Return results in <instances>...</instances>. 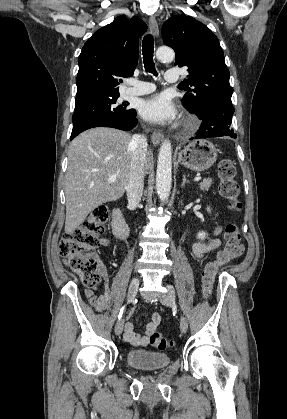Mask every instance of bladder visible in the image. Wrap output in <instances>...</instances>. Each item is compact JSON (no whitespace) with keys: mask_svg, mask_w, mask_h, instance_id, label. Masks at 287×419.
Returning a JSON list of instances; mask_svg holds the SVG:
<instances>
[{"mask_svg":"<svg viewBox=\"0 0 287 419\" xmlns=\"http://www.w3.org/2000/svg\"><path fill=\"white\" fill-rule=\"evenodd\" d=\"M125 360L131 367L143 370L162 369L170 363L168 355L145 349L127 351Z\"/></svg>","mask_w":287,"mask_h":419,"instance_id":"31cf9c89","label":"bladder"}]
</instances>
